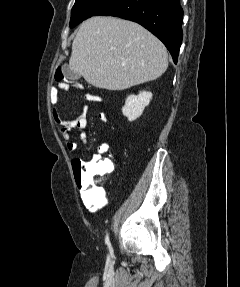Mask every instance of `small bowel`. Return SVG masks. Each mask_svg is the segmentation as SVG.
Wrapping results in <instances>:
<instances>
[{
  "instance_id": "obj_1",
  "label": "small bowel",
  "mask_w": 240,
  "mask_h": 287,
  "mask_svg": "<svg viewBox=\"0 0 240 287\" xmlns=\"http://www.w3.org/2000/svg\"><path fill=\"white\" fill-rule=\"evenodd\" d=\"M77 87H80L77 85ZM85 99L89 102H102V97L96 94L88 93L85 96ZM87 110L88 108L85 106L81 114H79L75 119L67 121L61 115L60 111L54 114V121L58 127L59 133L62 139L66 142V149L68 152L72 153L77 149V145L75 142L71 141V131L73 129H77L80 134L79 138L83 142L84 145H87V135L85 129L88 124L87 119ZM98 118L102 123L107 122V116L104 113H99ZM109 151V144L107 142H102L98 147L96 153L93 155L92 161H101L103 160L102 155ZM81 199L83 204L91 211L96 212L101 209L106 200L102 194L99 193L97 189H92L87 195L81 193Z\"/></svg>"
}]
</instances>
